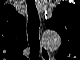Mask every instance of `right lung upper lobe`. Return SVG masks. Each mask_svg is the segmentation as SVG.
<instances>
[{"instance_id":"cb5924a9","label":"right lung upper lobe","mask_w":80,"mask_h":60,"mask_svg":"<svg viewBox=\"0 0 80 60\" xmlns=\"http://www.w3.org/2000/svg\"><path fill=\"white\" fill-rule=\"evenodd\" d=\"M3 8L2 39L7 46L22 54L23 49L27 47L25 18L11 6H4Z\"/></svg>"}]
</instances>
